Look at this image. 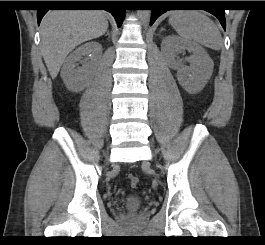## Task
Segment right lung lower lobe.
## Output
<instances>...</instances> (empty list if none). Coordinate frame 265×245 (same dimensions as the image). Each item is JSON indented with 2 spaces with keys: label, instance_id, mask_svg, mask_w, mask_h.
Instances as JSON below:
<instances>
[{
  "label": "right lung lower lobe",
  "instance_id": "right-lung-lower-lobe-1",
  "mask_svg": "<svg viewBox=\"0 0 265 245\" xmlns=\"http://www.w3.org/2000/svg\"><path fill=\"white\" fill-rule=\"evenodd\" d=\"M97 3H80V6L84 7H104L105 10L111 12L115 17L118 26H121L123 17H124V10L121 7L120 1H95ZM58 6H67V5H58ZM47 9H40L37 12V21L38 25L41 22L42 17L47 12Z\"/></svg>",
  "mask_w": 265,
  "mask_h": 245
}]
</instances>
